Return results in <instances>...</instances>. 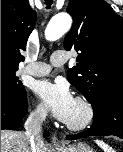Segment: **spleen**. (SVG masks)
<instances>
[{"mask_svg": "<svg viewBox=\"0 0 123 152\" xmlns=\"http://www.w3.org/2000/svg\"><path fill=\"white\" fill-rule=\"evenodd\" d=\"M96 143L103 149L104 152H114V150L103 141H96Z\"/></svg>", "mask_w": 123, "mask_h": 152, "instance_id": "spleen-1", "label": "spleen"}]
</instances>
